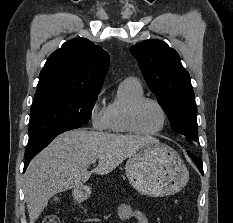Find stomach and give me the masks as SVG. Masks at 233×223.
Segmentation results:
<instances>
[{"mask_svg":"<svg viewBox=\"0 0 233 223\" xmlns=\"http://www.w3.org/2000/svg\"><path fill=\"white\" fill-rule=\"evenodd\" d=\"M130 185L148 197H162L180 191L189 181V171L177 151L165 143H146L125 163ZM92 187H74L72 197L77 203L87 201Z\"/></svg>","mask_w":233,"mask_h":223,"instance_id":"1","label":"stomach"}]
</instances>
